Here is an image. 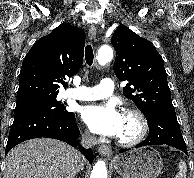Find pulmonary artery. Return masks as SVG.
<instances>
[{"label": "pulmonary artery", "mask_w": 194, "mask_h": 178, "mask_svg": "<svg viewBox=\"0 0 194 178\" xmlns=\"http://www.w3.org/2000/svg\"><path fill=\"white\" fill-rule=\"evenodd\" d=\"M114 90V81L111 78H103L97 86H80L78 89L68 90L67 98L91 101L109 97Z\"/></svg>", "instance_id": "e3ab8cb5"}]
</instances>
